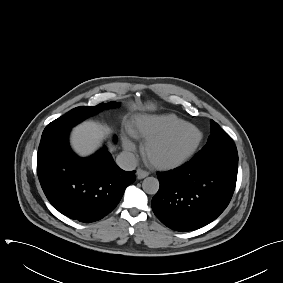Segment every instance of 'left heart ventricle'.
<instances>
[{
	"label": "left heart ventricle",
	"mask_w": 283,
	"mask_h": 283,
	"mask_svg": "<svg viewBox=\"0 0 283 283\" xmlns=\"http://www.w3.org/2000/svg\"><path fill=\"white\" fill-rule=\"evenodd\" d=\"M197 132L191 127H182L167 141L151 150V157L159 161H171L186 153L195 143Z\"/></svg>",
	"instance_id": "left-heart-ventricle-1"
}]
</instances>
